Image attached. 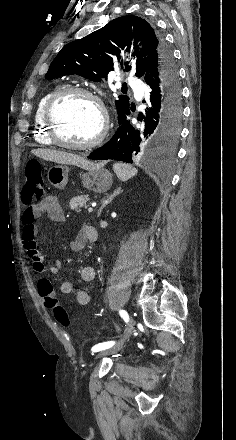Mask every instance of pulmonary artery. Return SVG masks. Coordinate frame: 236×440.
<instances>
[{
	"label": "pulmonary artery",
	"mask_w": 236,
	"mask_h": 440,
	"mask_svg": "<svg viewBox=\"0 0 236 440\" xmlns=\"http://www.w3.org/2000/svg\"><path fill=\"white\" fill-rule=\"evenodd\" d=\"M127 84L136 92H143L144 91L143 83L136 78L128 77Z\"/></svg>",
	"instance_id": "e3ab8cb5"
}]
</instances>
